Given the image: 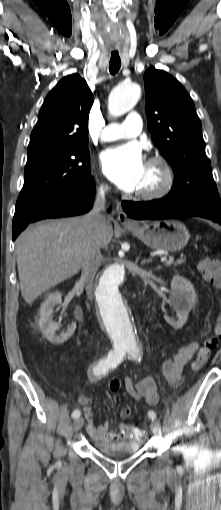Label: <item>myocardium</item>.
Segmentation results:
<instances>
[{
    "label": "myocardium",
    "instance_id": "f54148a6",
    "mask_svg": "<svg viewBox=\"0 0 221 510\" xmlns=\"http://www.w3.org/2000/svg\"><path fill=\"white\" fill-rule=\"evenodd\" d=\"M147 164L158 166L161 169L162 182L157 188L153 190L137 191L135 193L136 197L142 200L151 201L167 196L171 192L174 185V172L170 163L163 156L155 155L147 160Z\"/></svg>",
    "mask_w": 221,
    "mask_h": 510
}]
</instances>
